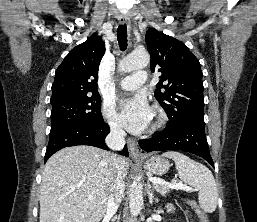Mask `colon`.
I'll return each mask as SVG.
<instances>
[{
	"instance_id": "1",
	"label": "colon",
	"mask_w": 257,
	"mask_h": 222,
	"mask_svg": "<svg viewBox=\"0 0 257 222\" xmlns=\"http://www.w3.org/2000/svg\"><path fill=\"white\" fill-rule=\"evenodd\" d=\"M197 213L200 218V222H209L207 215L203 211L198 210Z\"/></svg>"
}]
</instances>
